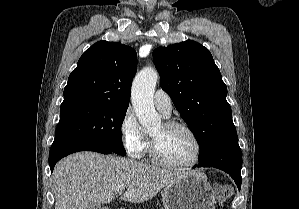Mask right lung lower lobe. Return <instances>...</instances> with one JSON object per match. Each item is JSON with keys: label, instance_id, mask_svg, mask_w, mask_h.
Here are the masks:
<instances>
[{"label": "right lung lower lobe", "instance_id": "obj_1", "mask_svg": "<svg viewBox=\"0 0 299 209\" xmlns=\"http://www.w3.org/2000/svg\"><path fill=\"white\" fill-rule=\"evenodd\" d=\"M78 151H95L103 154L115 153L111 149L96 143H87L67 138H55L50 148L49 165L51 172L57 161L61 158Z\"/></svg>", "mask_w": 299, "mask_h": 209}]
</instances>
